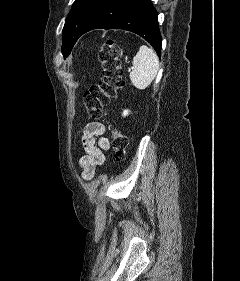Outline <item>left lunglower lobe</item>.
Listing matches in <instances>:
<instances>
[{
    "label": "left lung lower lobe",
    "mask_w": 240,
    "mask_h": 281,
    "mask_svg": "<svg viewBox=\"0 0 240 281\" xmlns=\"http://www.w3.org/2000/svg\"><path fill=\"white\" fill-rule=\"evenodd\" d=\"M158 13L150 0H102L84 24L79 37L98 28L124 29L147 40L161 54Z\"/></svg>",
    "instance_id": "obj_1"
}]
</instances>
